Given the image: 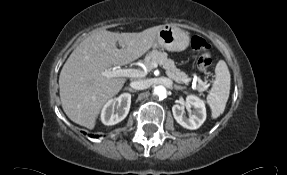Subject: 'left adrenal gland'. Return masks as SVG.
I'll list each match as a JSON object with an SVG mask.
<instances>
[{
  "label": "left adrenal gland",
  "mask_w": 287,
  "mask_h": 175,
  "mask_svg": "<svg viewBox=\"0 0 287 175\" xmlns=\"http://www.w3.org/2000/svg\"><path fill=\"white\" fill-rule=\"evenodd\" d=\"M175 89H176V90H179V89H183V87H181V86H175Z\"/></svg>",
  "instance_id": "left-adrenal-gland-1"
}]
</instances>
